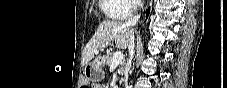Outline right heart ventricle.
I'll return each mask as SVG.
<instances>
[{"mask_svg":"<svg viewBox=\"0 0 227 88\" xmlns=\"http://www.w3.org/2000/svg\"><path fill=\"white\" fill-rule=\"evenodd\" d=\"M100 9L109 19H122L128 15L130 5L125 0H100Z\"/></svg>","mask_w":227,"mask_h":88,"instance_id":"obj_1","label":"right heart ventricle"}]
</instances>
